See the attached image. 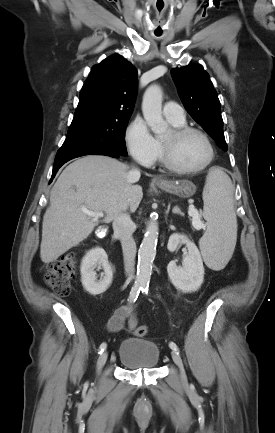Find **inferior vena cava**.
<instances>
[{
	"mask_svg": "<svg viewBox=\"0 0 275 433\" xmlns=\"http://www.w3.org/2000/svg\"><path fill=\"white\" fill-rule=\"evenodd\" d=\"M133 181H138L140 178V171L138 169H132L130 172ZM114 234L119 237L124 259V268L126 275L129 278L134 277L135 271V256H136V244L133 239V233L135 225L130 218V215L126 212H121L115 216L113 220Z\"/></svg>",
	"mask_w": 275,
	"mask_h": 433,
	"instance_id": "obj_1",
	"label": "inferior vena cava"
}]
</instances>
